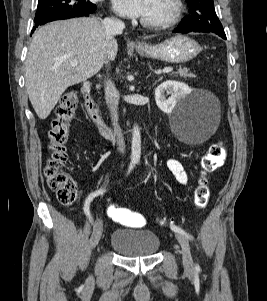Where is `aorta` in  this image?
I'll return each instance as SVG.
<instances>
[{"instance_id": "aorta-1", "label": "aorta", "mask_w": 267, "mask_h": 301, "mask_svg": "<svg viewBox=\"0 0 267 301\" xmlns=\"http://www.w3.org/2000/svg\"><path fill=\"white\" fill-rule=\"evenodd\" d=\"M140 156H141V133L138 125H134L132 130L131 158L133 160H139Z\"/></svg>"}]
</instances>
